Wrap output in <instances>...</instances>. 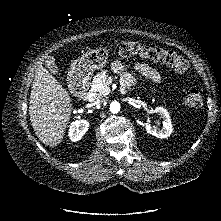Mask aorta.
Listing matches in <instances>:
<instances>
[{
	"instance_id": "aorta-1",
	"label": "aorta",
	"mask_w": 221,
	"mask_h": 221,
	"mask_svg": "<svg viewBox=\"0 0 221 221\" xmlns=\"http://www.w3.org/2000/svg\"><path fill=\"white\" fill-rule=\"evenodd\" d=\"M110 111L113 114L118 113L120 111V104H119V102H117V101L111 102V104H110Z\"/></svg>"
}]
</instances>
